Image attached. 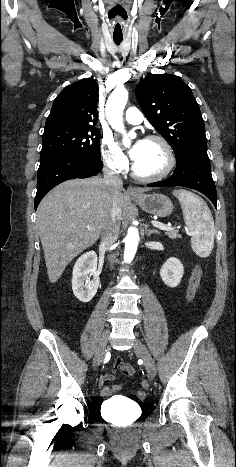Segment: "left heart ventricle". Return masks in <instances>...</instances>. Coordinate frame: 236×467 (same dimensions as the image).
<instances>
[{
    "mask_svg": "<svg viewBox=\"0 0 236 467\" xmlns=\"http://www.w3.org/2000/svg\"><path fill=\"white\" fill-rule=\"evenodd\" d=\"M135 165L137 170L145 175H152L162 171L166 165V154L161 144L145 140Z\"/></svg>",
    "mask_w": 236,
    "mask_h": 467,
    "instance_id": "left-heart-ventricle-1",
    "label": "left heart ventricle"
}]
</instances>
